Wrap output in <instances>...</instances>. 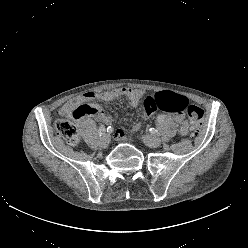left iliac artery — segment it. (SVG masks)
<instances>
[{"mask_svg":"<svg viewBox=\"0 0 248 248\" xmlns=\"http://www.w3.org/2000/svg\"><path fill=\"white\" fill-rule=\"evenodd\" d=\"M151 130H152V129H151ZM157 131H158V130L153 129V131H152V132H153V133H157Z\"/></svg>","mask_w":248,"mask_h":248,"instance_id":"left-iliac-artery-1","label":"left iliac artery"}]
</instances>
